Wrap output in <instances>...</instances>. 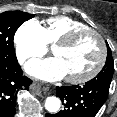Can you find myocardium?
Returning a JSON list of instances; mask_svg holds the SVG:
<instances>
[{
	"mask_svg": "<svg viewBox=\"0 0 117 117\" xmlns=\"http://www.w3.org/2000/svg\"><path fill=\"white\" fill-rule=\"evenodd\" d=\"M85 34H92L95 36L100 46V56L96 65L89 72L77 77H66V81L72 84H82L92 80L104 67L107 57V49L103 37L96 30L87 27L69 32L57 40L52 46V52L54 53L55 48L70 46L76 39Z\"/></svg>",
	"mask_w": 117,
	"mask_h": 117,
	"instance_id": "myocardium-1",
	"label": "myocardium"
}]
</instances>
